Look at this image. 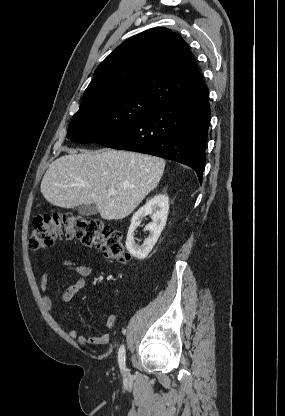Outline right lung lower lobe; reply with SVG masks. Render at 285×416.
<instances>
[{
  "label": "right lung lower lobe",
  "instance_id": "98d812e1",
  "mask_svg": "<svg viewBox=\"0 0 285 416\" xmlns=\"http://www.w3.org/2000/svg\"><path fill=\"white\" fill-rule=\"evenodd\" d=\"M210 118L206 87L157 107L129 127L96 143L183 163L196 171L202 183Z\"/></svg>",
  "mask_w": 285,
  "mask_h": 416
}]
</instances>
